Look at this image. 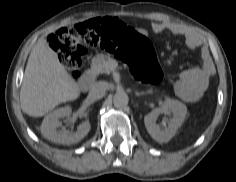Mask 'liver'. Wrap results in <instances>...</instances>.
<instances>
[{"mask_svg": "<svg viewBox=\"0 0 236 182\" xmlns=\"http://www.w3.org/2000/svg\"><path fill=\"white\" fill-rule=\"evenodd\" d=\"M80 96L78 83L60 63L54 50L40 38L30 53L20 91L22 111L41 117L57 105Z\"/></svg>", "mask_w": 236, "mask_h": 182, "instance_id": "6515ba94", "label": "liver"}]
</instances>
